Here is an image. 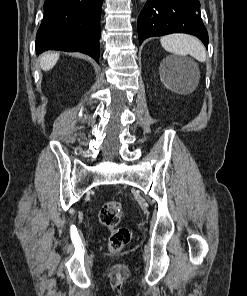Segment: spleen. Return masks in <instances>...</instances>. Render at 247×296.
<instances>
[{
    "label": "spleen",
    "mask_w": 247,
    "mask_h": 296,
    "mask_svg": "<svg viewBox=\"0 0 247 296\" xmlns=\"http://www.w3.org/2000/svg\"><path fill=\"white\" fill-rule=\"evenodd\" d=\"M162 47L175 55H191L200 62L206 61L204 45L196 37L187 34H170L160 39Z\"/></svg>",
    "instance_id": "spleen-1"
}]
</instances>
